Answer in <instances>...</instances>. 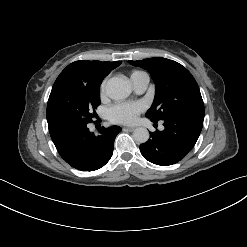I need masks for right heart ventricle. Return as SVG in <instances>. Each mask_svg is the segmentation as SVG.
<instances>
[{
  "mask_svg": "<svg viewBox=\"0 0 247 247\" xmlns=\"http://www.w3.org/2000/svg\"><path fill=\"white\" fill-rule=\"evenodd\" d=\"M140 74H145V73H143V72H141V71H134V72L131 74V77L136 76V75H140Z\"/></svg>",
  "mask_w": 247,
  "mask_h": 247,
  "instance_id": "1",
  "label": "right heart ventricle"
}]
</instances>
